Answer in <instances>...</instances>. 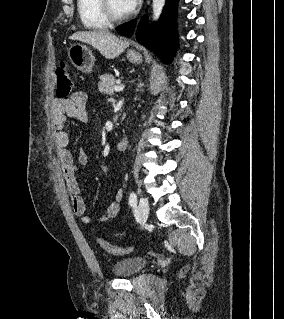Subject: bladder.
I'll use <instances>...</instances> for the list:
<instances>
[{
	"instance_id": "31cf9c89",
	"label": "bladder",
	"mask_w": 284,
	"mask_h": 319,
	"mask_svg": "<svg viewBox=\"0 0 284 319\" xmlns=\"http://www.w3.org/2000/svg\"><path fill=\"white\" fill-rule=\"evenodd\" d=\"M148 261L143 256H131L116 261L112 266V271L119 277H131L141 272Z\"/></svg>"
}]
</instances>
